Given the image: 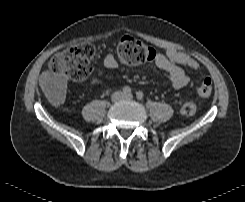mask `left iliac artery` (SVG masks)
Returning a JSON list of instances; mask_svg holds the SVG:
<instances>
[{
	"mask_svg": "<svg viewBox=\"0 0 245 202\" xmlns=\"http://www.w3.org/2000/svg\"><path fill=\"white\" fill-rule=\"evenodd\" d=\"M136 97H137V99L142 100L144 98L143 92L142 91L137 92Z\"/></svg>",
	"mask_w": 245,
	"mask_h": 202,
	"instance_id": "44dca946",
	"label": "left iliac artery"
}]
</instances>
